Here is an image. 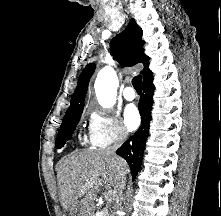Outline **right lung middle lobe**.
I'll use <instances>...</instances> for the list:
<instances>
[{"label":"right lung middle lobe","mask_w":221,"mask_h":216,"mask_svg":"<svg viewBox=\"0 0 221 216\" xmlns=\"http://www.w3.org/2000/svg\"><path fill=\"white\" fill-rule=\"evenodd\" d=\"M81 113L82 111L64 117L55 142L56 148L63 147L65 142L71 139L72 132L80 120Z\"/></svg>","instance_id":"right-lung-middle-lobe-1"}]
</instances>
